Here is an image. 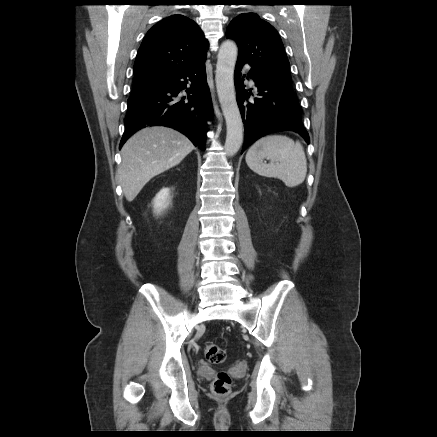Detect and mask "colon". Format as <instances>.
<instances>
[{"mask_svg":"<svg viewBox=\"0 0 437 437\" xmlns=\"http://www.w3.org/2000/svg\"><path fill=\"white\" fill-rule=\"evenodd\" d=\"M206 359L212 364H221L226 359L225 351L213 342H207L204 347ZM232 380L225 371H220L214 378L211 388L214 394L226 396L231 391Z\"/></svg>","mask_w":437,"mask_h":437,"instance_id":"1","label":"colon"}]
</instances>
